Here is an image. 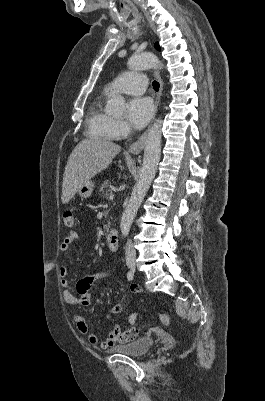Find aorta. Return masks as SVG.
Wrapping results in <instances>:
<instances>
[{"instance_id": "1", "label": "aorta", "mask_w": 265, "mask_h": 401, "mask_svg": "<svg viewBox=\"0 0 265 401\" xmlns=\"http://www.w3.org/2000/svg\"><path fill=\"white\" fill-rule=\"evenodd\" d=\"M131 70H140V68H161L163 66L161 60L153 54V52H141L137 56H133L129 62H127ZM109 106H112L114 112L123 110L125 106V98L118 94L115 98H112L109 102ZM162 120H155L145 140L143 164L141 166L139 180L135 184L132 194L129 198V203L122 213L120 231L123 237L129 235L131 225L136 217V213L143 201V198L150 188V184L155 176L157 170V164H159L161 154V138H162Z\"/></svg>"}]
</instances>
